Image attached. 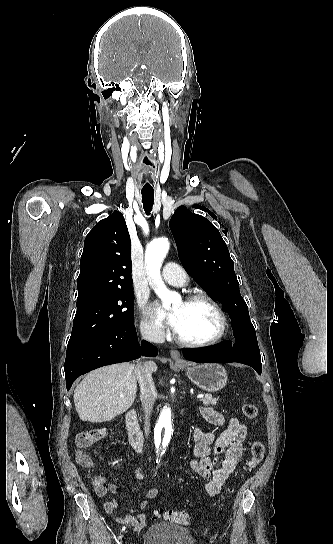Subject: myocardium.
<instances>
[{"label": "myocardium", "instance_id": "1", "mask_svg": "<svg viewBox=\"0 0 333 544\" xmlns=\"http://www.w3.org/2000/svg\"><path fill=\"white\" fill-rule=\"evenodd\" d=\"M200 301L207 302L214 308V310L216 311L219 317V329L212 338L205 341H189L182 338L175 331L174 332L175 340L183 346L190 347V348L209 347L218 343L226 334L227 327H228V318L220 302L216 300L214 297H212L211 295L206 293H195V294L189 295L185 300L186 303H195Z\"/></svg>", "mask_w": 333, "mask_h": 544}]
</instances>
